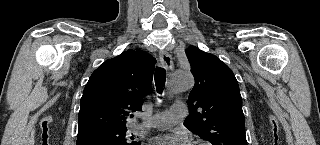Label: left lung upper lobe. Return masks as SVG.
Masks as SVG:
<instances>
[{
    "mask_svg": "<svg viewBox=\"0 0 320 145\" xmlns=\"http://www.w3.org/2000/svg\"><path fill=\"white\" fill-rule=\"evenodd\" d=\"M195 78L184 125L212 145H247L242 98L233 72L217 56L185 50Z\"/></svg>",
    "mask_w": 320,
    "mask_h": 145,
    "instance_id": "1",
    "label": "left lung upper lobe"
}]
</instances>
